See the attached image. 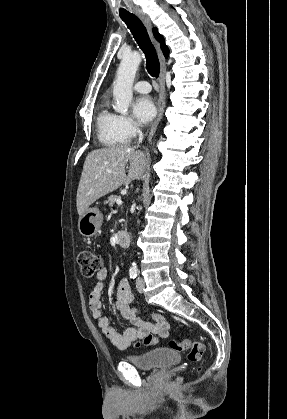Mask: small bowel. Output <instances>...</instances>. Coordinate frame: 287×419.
<instances>
[{"instance_id":"obj_1","label":"small bowel","mask_w":287,"mask_h":419,"mask_svg":"<svg viewBox=\"0 0 287 419\" xmlns=\"http://www.w3.org/2000/svg\"><path fill=\"white\" fill-rule=\"evenodd\" d=\"M108 276L107 269L103 268L96 274V283L89 295V309L93 318L98 322L104 336L119 349H127L136 346V343L151 334L165 337L169 331V324L165 317L160 313H153L149 320L138 317L135 310L131 307L133 299L129 285L126 280L120 281L117 288V299L113 303V309L118 311L123 318L128 320L133 326L124 328L121 332L117 331L102 312L101 295L104 288V281Z\"/></svg>"}]
</instances>
